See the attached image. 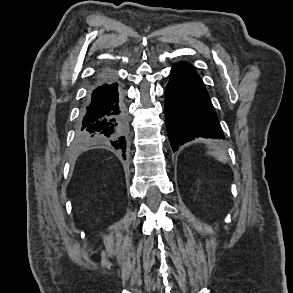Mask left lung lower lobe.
I'll return each mask as SVG.
<instances>
[{
    "instance_id": "left-lung-lower-lobe-1",
    "label": "left lung lower lobe",
    "mask_w": 293,
    "mask_h": 293,
    "mask_svg": "<svg viewBox=\"0 0 293 293\" xmlns=\"http://www.w3.org/2000/svg\"><path fill=\"white\" fill-rule=\"evenodd\" d=\"M165 118L173 152L195 138H225L206 87L187 62L178 63L170 72Z\"/></svg>"
}]
</instances>
